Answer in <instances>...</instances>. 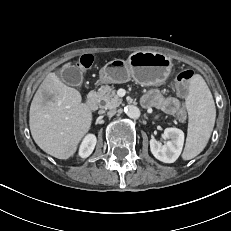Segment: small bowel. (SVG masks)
<instances>
[{
    "label": "small bowel",
    "mask_w": 231,
    "mask_h": 231,
    "mask_svg": "<svg viewBox=\"0 0 231 231\" xmlns=\"http://www.w3.org/2000/svg\"><path fill=\"white\" fill-rule=\"evenodd\" d=\"M145 106H154L166 114L179 113L180 102L174 97H163L158 91L152 90L143 98Z\"/></svg>",
    "instance_id": "c3829d8e"
}]
</instances>
